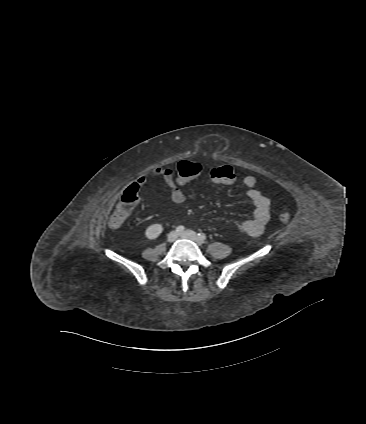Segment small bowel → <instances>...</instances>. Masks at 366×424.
<instances>
[{"label": "small bowel", "instance_id": "small-bowel-1", "mask_svg": "<svg viewBox=\"0 0 366 424\" xmlns=\"http://www.w3.org/2000/svg\"><path fill=\"white\" fill-rule=\"evenodd\" d=\"M226 167L232 168L228 165ZM150 179H163L170 189L171 199L176 204H181L185 200L183 192L178 188L174 180L172 170L168 168H157L146 175L139 177L137 186L145 185ZM257 179L254 176H246L243 185L246 188L247 196L253 204L252 219L246 220L237 226V230L251 237L261 235L270 217V200L256 189Z\"/></svg>", "mask_w": 366, "mask_h": 424}]
</instances>
